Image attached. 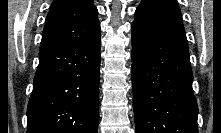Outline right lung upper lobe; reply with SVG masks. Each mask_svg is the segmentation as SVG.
I'll list each match as a JSON object with an SVG mask.
<instances>
[{
    "label": "right lung upper lobe",
    "mask_w": 221,
    "mask_h": 133,
    "mask_svg": "<svg viewBox=\"0 0 221 133\" xmlns=\"http://www.w3.org/2000/svg\"><path fill=\"white\" fill-rule=\"evenodd\" d=\"M93 0H54L43 29L40 49L80 45L99 30Z\"/></svg>",
    "instance_id": "right-lung-upper-lobe-1"
}]
</instances>
